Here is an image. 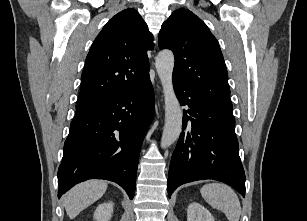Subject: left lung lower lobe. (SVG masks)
I'll return each instance as SVG.
<instances>
[{"mask_svg": "<svg viewBox=\"0 0 307 221\" xmlns=\"http://www.w3.org/2000/svg\"><path fill=\"white\" fill-rule=\"evenodd\" d=\"M173 85L181 105L189 109L183 110V131L171 158L168 197L178 186L204 179L224 182L245 196L233 114L198 97L176 78Z\"/></svg>", "mask_w": 307, "mask_h": 221, "instance_id": "1", "label": "left lung lower lobe"}]
</instances>
